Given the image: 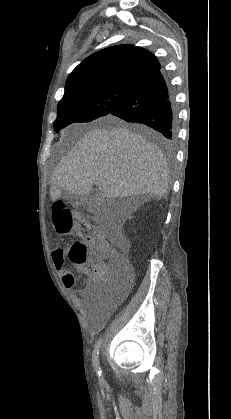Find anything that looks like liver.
I'll return each instance as SVG.
<instances>
[{"mask_svg": "<svg viewBox=\"0 0 231 419\" xmlns=\"http://www.w3.org/2000/svg\"><path fill=\"white\" fill-rule=\"evenodd\" d=\"M107 121L117 125L88 131L53 171L52 201L62 190L88 195L94 184L102 198L150 194L160 199L166 194L169 170L162 151L117 119Z\"/></svg>", "mask_w": 231, "mask_h": 419, "instance_id": "obj_1", "label": "liver"}]
</instances>
